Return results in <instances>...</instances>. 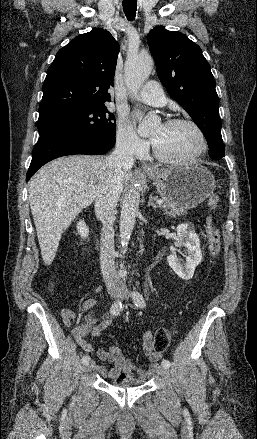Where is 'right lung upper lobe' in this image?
I'll list each match as a JSON object with an SVG mask.
<instances>
[{
  "label": "right lung upper lobe",
  "mask_w": 257,
  "mask_h": 439,
  "mask_svg": "<svg viewBox=\"0 0 257 439\" xmlns=\"http://www.w3.org/2000/svg\"><path fill=\"white\" fill-rule=\"evenodd\" d=\"M120 47L103 29H93L60 49L47 71L39 119L110 102Z\"/></svg>",
  "instance_id": "1"
}]
</instances>
